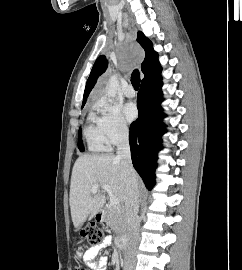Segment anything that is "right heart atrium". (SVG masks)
Masks as SVG:
<instances>
[{
	"mask_svg": "<svg viewBox=\"0 0 242 270\" xmlns=\"http://www.w3.org/2000/svg\"><path fill=\"white\" fill-rule=\"evenodd\" d=\"M97 109L100 112L101 126L109 145H117L129 136V126L116 105L99 101Z\"/></svg>",
	"mask_w": 242,
	"mask_h": 270,
	"instance_id": "right-heart-atrium-1",
	"label": "right heart atrium"
}]
</instances>
